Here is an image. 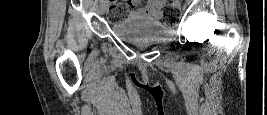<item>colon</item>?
Here are the masks:
<instances>
[{
    "mask_svg": "<svg viewBox=\"0 0 267 115\" xmlns=\"http://www.w3.org/2000/svg\"><path fill=\"white\" fill-rule=\"evenodd\" d=\"M131 3H117L110 6L107 18L110 22H120L124 20L131 12ZM163 17L166 21H175L181 15L180 4L178 1H172L163 6Z\"/></svg>",
    "mask_w": 267,
    "mask_h": 115,
    "instance_id": "1",
    "label": "colon"
}]
</instances>
